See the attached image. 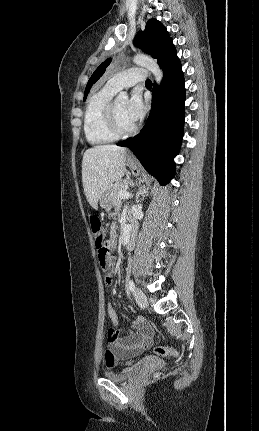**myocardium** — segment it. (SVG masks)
<instances>
[{
	"instance_id": "f54148a6",
	"label": "myocardium",
	"mask_w": 259,
	"mask_h": 431,
	"mask_svg": "<svg viewBox=\"0 0 259 431\" xmlns=\"http://www.w3.org/2000/svg\"><path fill=\"white\" fill-rule=\"evenodd\" d=\"M106 121L109 130L117 137H126L136 132L137 127L133 125L128 129H124L119 124L115 111V100H111L106 110Z\"/></svg>"
}]
</instances>
